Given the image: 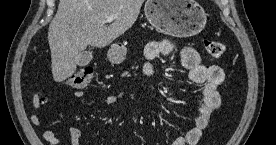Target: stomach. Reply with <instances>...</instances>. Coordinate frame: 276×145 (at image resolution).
I'll return each instance as SVG.
<instances>
[{
	"label": "stomach",
	"mask_w": 276,
	"mask_h": 145,
	"mask_svg": "<svg viewBox=\"0 0 276 145\" xmlns=\"http://www.w3.org/2000/svg\"><path fill=\"white\" fill-rule=\"evenodd\" d=\"M144 12L155 29L173 37L196 35L207 22L204 9L195 0H147ZM107 56L112 63L120 64L125 50L112 47Z\"/></svg>",
	"instance_id": "obj_1"
}]
</instances>
